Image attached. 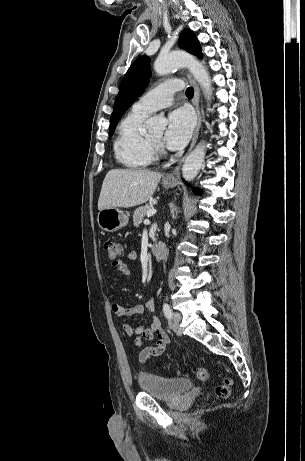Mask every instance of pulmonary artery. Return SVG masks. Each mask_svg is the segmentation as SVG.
Listing matches in <instances>:
<instances>
[{"label":"pulmonary artery","mask_w":305,"mask_h":461,"mask_svg":"<svg viewBox=\"0 0 305 461\" xmlns=\"http://www.w3.org/2000/svg\"><path fill=\"white\" fill-rule=\"evenodd\" d=\"M183 84L179 79L168 80L146 92L133 105V110L150 114L166 108L173 101V94L182 90Z\"/></svg>","instance_id":"1"}]
</instances>
